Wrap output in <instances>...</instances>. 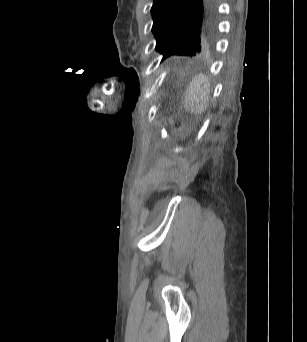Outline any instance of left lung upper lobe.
Masks as SVG:
<instances>
[{
  "instance_id": "left-lung-upper-lobe-1",
  "label": "left lung upper lobe",
  "mask_w": 307,
  "mask_h": 342,
  "mask_svg": "<svg viewBox=\"0 0 307 342\" xmlns=\"http://www.w3.org/2000/svg\"><path fill=\"white\" fill-rule=\"evenodd\" d=\"M156 50L163 60L172 55L196 56L214 37V11L204 0H154L151 8Z\"/></svg>"
}]
</instances>
